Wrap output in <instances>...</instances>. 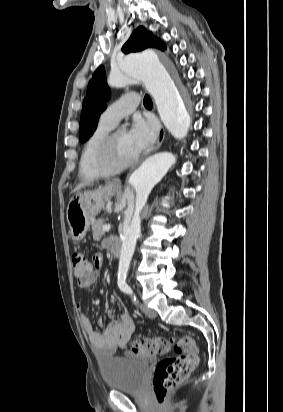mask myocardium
Wrapping results in <instances>:
<instances>
[{
    "mask_svg": "<svg viewBox=\"0 0 283 412\" xmlns=\"http://www.w3.org/2000/svg\"><path fill=\"white\" fill-rule=\"evenodd\" d=\"M120 131L122 130L117 129L109 133L103 142L98 156L99 165L110 174L129 168L139 159V155H136L133 159L127 162L118 161L116 157V139Z\"/></svg>",
    "mask_w": 283,
    "mask_h": 412,
    "instance_id": "myocardium-1",
    "label": "myocardium"
}]
</instances>
